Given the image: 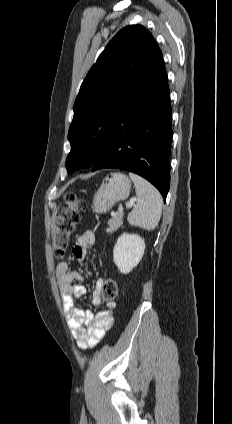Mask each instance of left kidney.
Masks as SVG:
<instances>
[{
    "mask_svg": "<svg viewBox=\"0 0 232 424\" xmlns=\"http://www.w3.org/2000/svg\"><path fill=\"white\" fill-rule=\"evenodd\" d=\"M144 250V239L137 234L123 233L114 246V263L121 273L128 274L139 264Z\"/></svg>",
    "mask_w": 232,
    "mask_h": 424,
    "instance_id": "1",
    "label": "left kidney"
}]
</instances>
